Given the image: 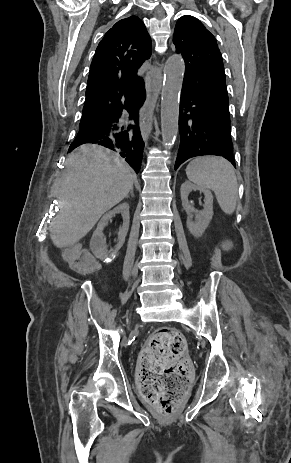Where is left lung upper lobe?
Wrapping results in <instances>:
<instances>
[{
    "label": "left lung upper lobe",
    "mask_w": 291,
    "mask_h": 463,
    "mask_svg": "<svg viewBox=\"0 0 291 463\" xmlns=\"http://www.w3.org/2000/svg\"><path fill=\"white\" fill-rule=\"evenodd\" d=\"M173 43L185 61L182 89L229 114L223 60L214 36L198 19L185 15L176 23Z\"/></svg>",
    "instance_id": "left-lung-upper-lobe-1"
}]
</instances>
